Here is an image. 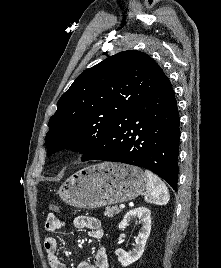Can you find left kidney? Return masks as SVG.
<instances>
[{
    "instance_id": "5707ae66",
    "label": "left kidney",
    "mask_w": 221,
    "mask_h": 268,
    "mask_svg": "<svg viewBox=\"0 0 221 268\" xmlns=\"http://www.w3.org/2000/svg\"><path fill=\"white\" fill-rule=\"evenodd\" d=\"M134 218H138L141 222V229L135 240L136 244L134 248L129 252H126L120 248L116 249L115 251V254L118 257V261L123 267L129 266L142 256L145 249L146 241L151 231V212L146 207H138L133 210H130L128 213H126L123 220L119 223L118 228L124 229L128 225V223Z\"/></svg>"
}]
</instances>
